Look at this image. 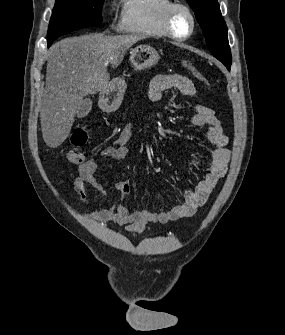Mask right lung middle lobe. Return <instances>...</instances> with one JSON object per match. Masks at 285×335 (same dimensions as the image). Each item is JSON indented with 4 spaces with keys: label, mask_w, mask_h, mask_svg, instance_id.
<instances>
[{
    "label": "right lung middle lobe",
    "mask_w": 285,
    "mask_h": 335,
    "mask_svg": "<svg viewBox=\"0 0 285 335\" xmlns=\"http://www.w3.org/2000/svg\"><path fill=\"white\" fill-rule=\"evenodd\" d=\"M104 0H56L48 28V45L71 31L102 23Z\"/></svg>",
    "instance_id": "right-lung-middle-lobe-1"
}]
</instances>
